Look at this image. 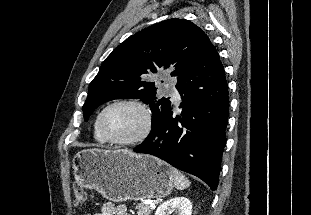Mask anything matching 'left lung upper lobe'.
Returning a JSON list of instances; mask_svg holds the SVG:
<instances>
[{
	"instance_id": "5c2ea615",
	"label": "left lung upper lobe",
	"mask_w": 311,
	"mask_h": 215,
	"mask_svg": "<svg viewBox=\"0 0 311 215\" xmlns=\"http://www.w3.org/2000/svg\"><path fill=\"white\" fill-rule=\"evenodd\" d=\"M205 33L185 19L172 18L130 36L104 60L89 85L83 105L85 121L101 104L118 99H141L149 104L152 123L169 98H158L153 78L162 70L178 77L199 51Z\"/></svg>"
}]
</instances>
